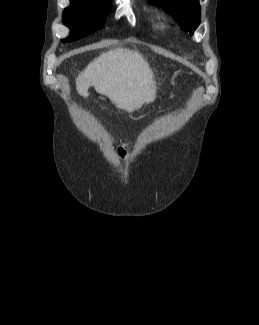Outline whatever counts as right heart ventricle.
I'll list each match as a JSON object with an SVG mask.
<instances>
[{
	"label": "right heart ventricle",
	"mask_w": 259,
	"mask_h": 325,
	"mask_svg": "<svg viewBox=\"0 0 259 325\" xmlns=\"http://www.w3.org/2000/svg\"><path fill=\"white\" fill-rule=\"evenodd\" d=\"M151 22H152L153 26H155V27L159 26V24L153 18L151 19Z\"/></svg>",
	"instance_id": "e07e8e85"
}]
</instances>
